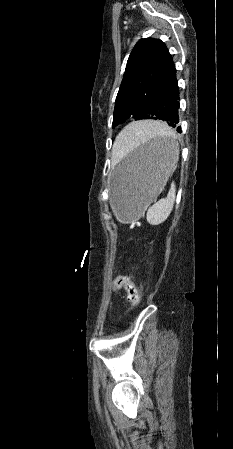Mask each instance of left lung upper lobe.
Listing matches in <instances>:
<instances>
[{"mask_svg": "<svg viewBox=\"0 0 233 449\" xmlns=\"http://www.w3.org/2000/svg\"><path fill=\"white\" fill-rule=\"evenodd\" d=\"M175 73L166 45L159 39H141L127 61L115 101L112 127L127 119H145L152 100Z\"/></svg>", "mask_w": 233, "mask_h": 449, "instance_id": "1", "label": "left lung upper lobe"}]
</instances>
